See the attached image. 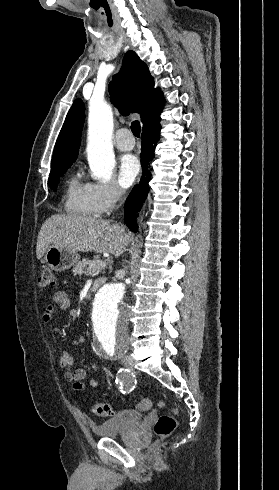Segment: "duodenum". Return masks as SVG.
<instances>
[{
  "label": "duodenum",
  "instance_id": "duodenum-1",
  "mask_svg": "<svg viewBox=\"0 0 279 490\" xmlns=\"http://www.w3.org/2000/svg\"><path fill=\"white\" fill-rule=\"evenodd\" d=\"M103 284H104L103 279L95 280L90 287V293L96 292Z\"/></svg>",
  "mask_w": 279,
  "mask_h": 490
}]
</instances>
